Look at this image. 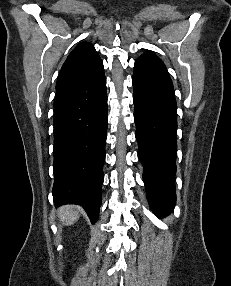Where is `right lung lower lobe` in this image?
I'll return each instance as SVG.
<instances>
[{
  "instance_id": "obj_1",
  "label": "right lung lower lobe",
  "mask_w": 231,
  "mask_h": 286,
  "mask_svg": "<svg viewBox=\"0 0 231 286\" xmlns=\"http://www.w3.org/2000/svg\"><path fill=\"white\" fill-rule=\"evenodd\" d=\"M107 121L104 68L56 86L53 200L81 205L92 223L101 205Z\"/></svg>"
}]
</instances>
